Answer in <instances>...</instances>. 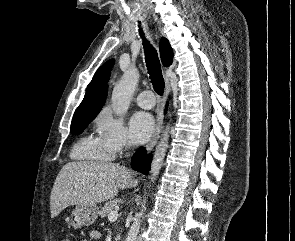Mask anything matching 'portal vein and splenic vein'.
<instances>
[{"label": "portal vein and splenic vein", "mask_w": 295, "mask_h": 241, "mask_svg": "<svg viewBox=\"0 0 295 241\" xmlns=\"http://www.w3.org/2000/svg\"><path fill=\"white\" fill-rule=\"evenodd\" d=\"M117 218H118V209H115V210L111 211V212L109 213V215H108V219H109L110 221L117 220Z\"/></svg>", "instance_id": "portal-vein-and-splenic-vein-1"}]
</instances>
